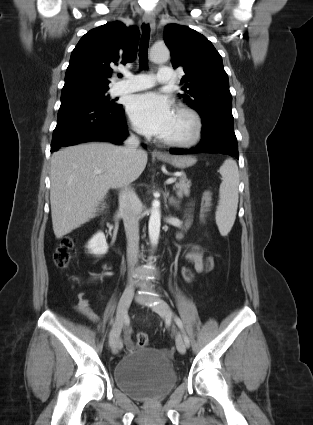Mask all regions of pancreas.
I'll use <instances>...</instances> for the list:
<instances>
[{"label": "pancreas", "instance_id": "obj_1", "mask_svg": "<svg viewBox=\"0 0 313 425\" xmlns=\"http://www.w3.org/2000/svg\"><path fill=\"white\" fill-rule=\"evenodd\" d=\"M191 181L188 180L185 174H182L180 180L175 183L174 189L179 198H182L183 195L189 196L190 194Z\"/></svg>", "mask_w": 313, "mask_h": 425}]
</instances>
